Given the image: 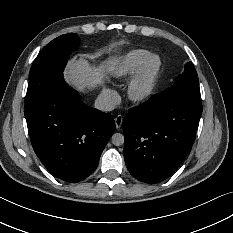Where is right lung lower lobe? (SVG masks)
<instances>
[{"mask_svg":"<svg viewBox=\"0 0 233 233\" xmlns=\"http://www.w3.org/2000/svg\"><path fill=\"white\" fill-rule=\"evenodd\" d=\"M36 155L55 177L79 182L97 168L115 129L114 117L81 101L63 77L25 110Z\"/></svg>","mask_w":233,"mask_h":233,"instance_id":"1","label":"right lung lower lobe"}]
</instances>
